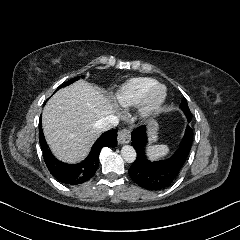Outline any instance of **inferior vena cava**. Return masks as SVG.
Returning <instances> with one entry per match:
<instances>
[{"instance_id": "inferior-vena-cava-1", "label": "inferior vena cava", "mask_w": 240, "mask_h": 240, "mask_svg": "<svg viewBox=\"0 0 240 240\" xmlns=\"http://www.w3.org/2000/svg\"><path fill=\"white\" fill-rule=\"evenodd\" d=\"M119 124V118L114 115H107L102 117L95 123V127L100 129L101 131H107Z\"/></svg>"}]
</instances>
